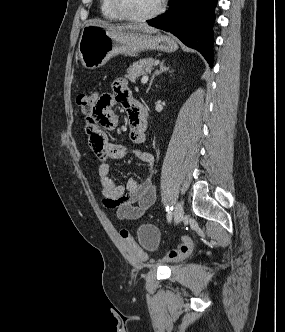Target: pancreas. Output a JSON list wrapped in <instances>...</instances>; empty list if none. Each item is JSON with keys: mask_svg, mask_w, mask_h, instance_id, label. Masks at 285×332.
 Listing matches in <instances>:
<instances>
[{"mask_svg": "<svg viewBox=\"0 0 285 332\" xmlns=\"http://www.w3.org/2000/svg\"><path fill=\"white\" fill-rule=\"evenodd\" d=\"M154 61L155 60L152 58H147L133 63V65L127 69L125 77L131 82H135L136 78L151 71Z\"/></svg>", "mask_w": 285, "mask_h": 332, "instance_id": "pancreas-1", "label": "pancreas"}]
</instances>
